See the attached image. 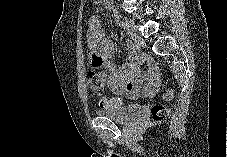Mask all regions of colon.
Wrapping results in <instances>:
<instances>
[{
    "label": "colon",
    "instance_id": "1",
    "mask_svg": "<svg viewBox=\"0 0 227 157\" xmlns=\"http://www.w3.org/2000/svg\"><path fill=\"white\" fill-rule=\"evenodd\" d=\"M95 64H100L101 62H93ZM89 85L99 94L104 90V84L102 76L98 73H91L88 76ZM175 96V90L173 88H168L164 93V99L170 101ZM98 103L103 108L109 107H119L123 104V99L120 97L110 98L106 96H100ZM151 118L156 121H162L168 115V109L162 104H153L150 110Z\"/></svg>",
    "mask_w": 227,
    "mask_h": 157
}]
</instances>
